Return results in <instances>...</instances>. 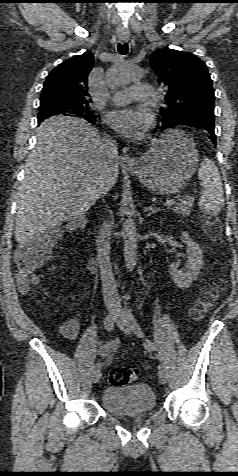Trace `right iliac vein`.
<instances>
[{"label": "right iliac vein", "instance_id": "right-iliac-vein-1", "mask_svg": "<svg viewBox=\"0 0 238 476\" xmlns=\"http://www.w3.org/2000/svg\"><path fill=\"white\" fill-rule=\"evenodd\" d=\"M109 312H110V314H115V309H114V308H110V309H109ZM101 375H102V374H101V371H100L99 369L94 370V372H93V374H92V381H93L94 383L98 382V381L100 380V378H101Z\"/></svg>", "mask_w": 238, "mask_h": 476}]
</instances>
